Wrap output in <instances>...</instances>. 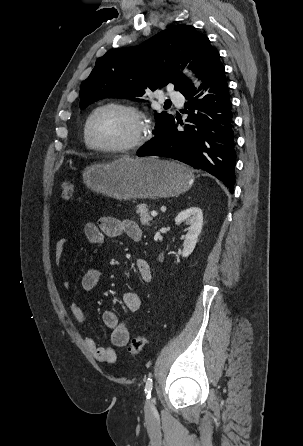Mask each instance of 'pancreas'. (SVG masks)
Instances as JSON below:
<instances>
[{
	"instance_id": "pancreas-1",
	"label": "pancreas",
	"mask_w": 303,
	"mask_h": 446,
	"mask_svg": "<svg viewBox=\"0 0 303 446\" xmlns=\"http://www.w3.org/2000/svg\"><path fill=\"white\" fill-rule=\"evenodd\" d=\"M136 213L140 216V222L143 226H149L152 217L149 214V209L146 204L137 205Z\"/></svg>"
}]
</instances>
